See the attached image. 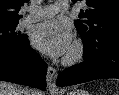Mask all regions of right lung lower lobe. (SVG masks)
<instances>
[{
  "instance_id": "obj_1",
  "label": "right lung lower lobe",
  "mask_w": 119,
  "mask_h": 95,
  "mask_svg": "<svg viewBox=\"0 0 119 95\" xmlns=\"http://www.w3.org/2000/svg\"><path fill=\"white\" fill-rule=\"evenodd\" d=\"M47 64L29 45L28 36L19 42L0 44V80L45 90Z\"/></svg>"
}]
</instances>
